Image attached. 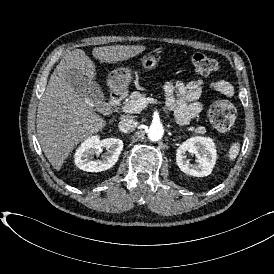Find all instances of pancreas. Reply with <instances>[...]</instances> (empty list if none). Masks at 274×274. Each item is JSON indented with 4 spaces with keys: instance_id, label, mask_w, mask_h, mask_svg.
Instances as JSON below:
<instances>
[{
    "instance_id": "cf45deb5",
    "label": "pancreas",
    "mask_w": 274,
    "mask_h": 274,
    "mask_svg": "<svg viewBox=\"0 0 274 274\" xmlns=\"http://www.w3.org/2000/svg\"><path fill=\"white\" fill-rule=\"evenodd\" d=\"M144 95L141 94L138 91L132 92L131 95L129 96V100L127 102H125V108L129 109L132 104L137 101L138 99L142 98ZM189 131H194L195 133H200V134H205L206 133V129L203 126H199L197 128L194 127H189L188 128Z\"/></svg>"
}]
</instances>
